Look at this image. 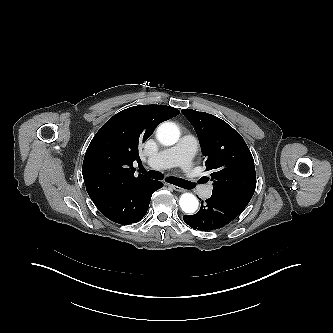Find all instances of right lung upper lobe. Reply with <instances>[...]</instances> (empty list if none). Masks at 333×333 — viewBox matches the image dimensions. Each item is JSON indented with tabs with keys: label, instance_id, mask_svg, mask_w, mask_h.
Instances as JSON below:
<instances>
[{
	"label": "right lung upper lobe",
	"instance_id": "1",
	"mask_svg": "<svg viewBox=\"0 0 333 333\" xmlns=\"http://www.w3.org/2000/svg\"><path fill=\"white\" fill-rule=\"evenodd\" d=\"M180 111L166 105H140L111 117L96 133L85 153L82 173L94 204L102 203L148 180L134 176L133 162H140L139 147L156 126Z\"/></svg>",
	"mask_w": 333,
	"mask_h": 333
}]
</instances>
